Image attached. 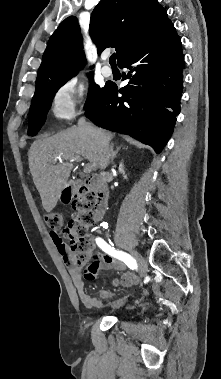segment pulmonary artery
I'll use <instances>...</instances> for the list:
<instances>
[{
    "label": "pulmonary artery",
    "mask_w": 221,
    "mask_h": 379,
    "mask_svg": "<svg viewBox=\"0 0 221 379\" xmlns=\"http://www.w3.org/2000/svg\"><path fill=\"white\" fill-rule=\"evenodd\" d=\"M108 59V55H103L102 56V60L103 61H106ZM101 73L105 76V77H110L112 75V69L105 65L101 68Z\"/></svg>",
    "instance_id": "obj_1"
}]
</instances>
